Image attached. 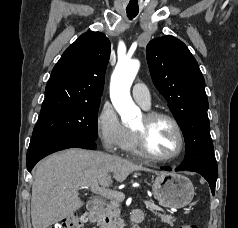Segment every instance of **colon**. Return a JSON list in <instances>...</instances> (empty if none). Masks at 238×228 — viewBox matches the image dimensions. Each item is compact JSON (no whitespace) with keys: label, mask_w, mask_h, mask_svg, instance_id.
<instances>
[{"label":"colon","mask_w":238,"mask_h":228,"mask_svg":"<svg viewBox=\"0 0 238 228\" xmlns=\"http://www.w3.org/2000/svg\"><path fill=\"white\" fill-rule=\"evenodd\" d=\"M86 221L87 216L85 214L74 213L48 228H82ZM180 228H199V227L191 224H185Z\"/></svg>","instance_id":"5ec220e1"}]
</instances>
